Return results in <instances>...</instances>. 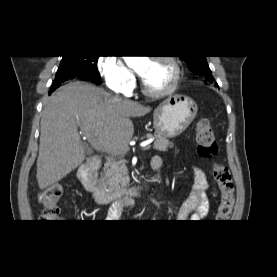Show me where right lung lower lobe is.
Instances as JSON below:
<instances>
[{"label":"right lung lower lobe","instance_id":"obj_1","mask_svg":"<svg viewBox=\"0 0 277 277\" xmlns=\"http://www.w3.org/2000/svg\"><path fill=\"white\" fill-rule=\"evenodd\" d=\"M74 78H80V79H83V80H90V81H92V82H95L96 83V81H93V80H91L90 78H88L87 76H77L76 74H74V73H67V74H61V73H59V74H57L56 75V77H55V80H54V82H53V85H52V87H51V89H50V92H49V94H51L56 88H58L63 82H65V81H67V80H69V79H74Z\"/></svg>","mask_w":277,"mask_h":277}]
</instances>
